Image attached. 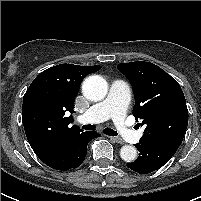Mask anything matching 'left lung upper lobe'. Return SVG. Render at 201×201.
Listing matches in <instances>:
<instances>
[{"label": "left lung upper lobe", "instance_id": "left-lung-upper-lobe-1", "mask_svg": "<svg viewBox=\"0 0 201 201\" xmlns=\"http://www.w3.org/2000/svg\"><path fill=\"white\" fill-rule=\"evenodd\" d=\"M117 68L132 85L133 115L141 120L139 125L146 127L140 142H182L188 125V110L178 82L150 62L120 63Z\"/></svg>", "mask_w": 201, "mask_h": 201}]
</instances>
